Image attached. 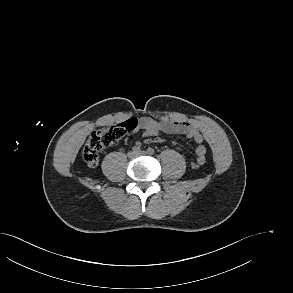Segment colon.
I'll list each match as a JSON object with an SVG mask.
<instances>
[{
  "instance_id": "1",
  "label": "colon",
  "mask_w": 293,
  "mask_h": 293,
  "mask_svg": "<svg viewBox=\"0 0 293 293\" xmlns=\"http://www.w3.org/2000/svg\"><path fill=\"white\" fill-rule=\"evenodd\" d=\"M137 122L130 119L122 124L100 128L92 133L82 150V157L88 166L94 167L98 163L99 154L107 147L118 143L128 130L135 128ZM205 162L200 156L193 163V168H199Z\"/></svg>"
}]
</instances>
